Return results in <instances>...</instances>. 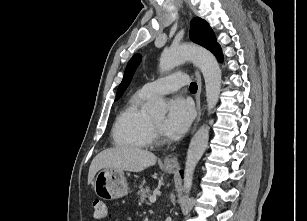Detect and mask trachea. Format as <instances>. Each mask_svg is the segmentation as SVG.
I'll use <instances>...</instances> for the list:
<instances>
[{"mask_svg": "<svg viewBox=\"0 0 307 221\" xmlns=\"http://www.w3.org/2000/svg\"><path fill=\"white\" fill-rule=\"evenodd\" d=\"M197 88H198L197 84H196L195 82H192V83L190 84L189 90H190L191 92H196V91H197Z\"/></svg>", "mask_w": 307, "mask_h": 221, "instance_id": "3493384b", "label": "trachea"}]
</instances>
